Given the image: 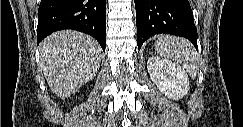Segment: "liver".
<instances>
[{
    "instance_id": "obj_1",
    "label": "liver",
    "mask_w": 243,
    "mask_h": 127,
    "mask_svg": "<svg viewBox=\"0 0 243 127\" xmlns=\"http://www.w3.org/2000/svg\"><path fill=\"white\" fill-rule=\"evenodd\" d=\"M40 64L52 92L59 98L74 94L97 74L101 48L81 32L58 31L40 45Z\"/></svg>"
}]
</instances>
